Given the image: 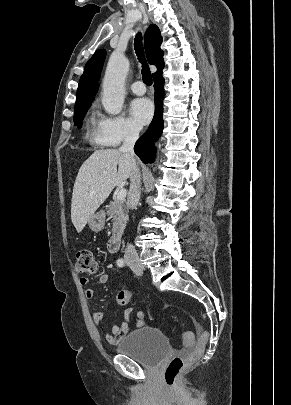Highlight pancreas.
I'll return each mask as SVG.
<instances>
[{
  "label": "pancreas",
  "mask_w": 291,
  "mask_h": 405,
  "mask_svg": "<svg viewBox=\"0 0 291 405\" xmlns=\"http://www.w3.org/2000/svg\"><path fill=\"white\" fill-rule=\"evenodd\" d=\"M107 214L110 216V218H112L113 221V235L121 233L128 221V215L124 202L121 200L111 201L108 206Z\"/></svg>",
  "instance_id": "pancreas-1"
}]
</instances>
